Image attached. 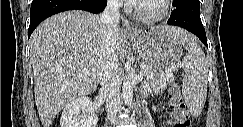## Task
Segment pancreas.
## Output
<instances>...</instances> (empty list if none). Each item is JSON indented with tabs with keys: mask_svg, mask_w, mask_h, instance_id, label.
Returning a JSON list of instances; mask_svg holds the SVG:
<instances>
[{
	"mask_svg": "<svg viewBox=\"0 0 243 127\" xmlns=\"http://www.w3.org/2000/svg\"><path fill=\"white\" fill-rule=\"evenodd\" d=\"M142 67L147 71L144 75L147 83L155 92L165 89L168 85L174 82V78L170 73L157 72L147 63H143Z\"/></svg>",
	"mask_w": 243,
	"mask_h": 127,
	"instance_id": "1",
	"label": "pancreas"
}]
</instances>
